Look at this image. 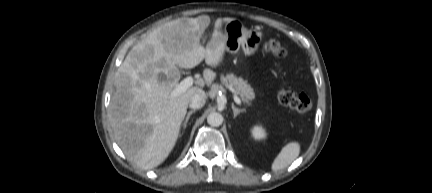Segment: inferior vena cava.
<instances>
[{
    "instance_id": "1",
    "label": "inferior vena cava",
    "mask_w": 432,
    "mask_h": 193,
    "mask_svg": "<svg viewBox=\"0 0 432 193\" xmlns=\"http://www.w3.org/2000/svg\"><path fill=\"white\" fill-rule=\"evenodd\" d=\"M205 103H206V95L196 93L192 96L189 105L193 109H200L205 105Z\"/></svg>"
}]
</instances>
